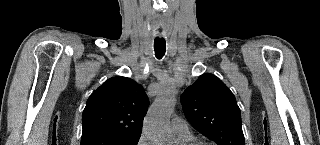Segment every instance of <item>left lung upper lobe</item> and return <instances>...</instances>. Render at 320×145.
Masks as SVG:
<instances>
[{"label":"left lung upper lobe","mask_w":320,"mask_h":145,"mask_svg":"<svg viewBox=\"0 0 320 145\" xmlns=\"http://www.w3.org/2000/svg\"><path fill=\"white\" fill-rule=\"evenodd\" d=\"M181 103L191 125L217 145H245L236 99L215 75L199 76L183 92Z\"/></svg>","instance_id":"5c2ea615"}]
</instances>
